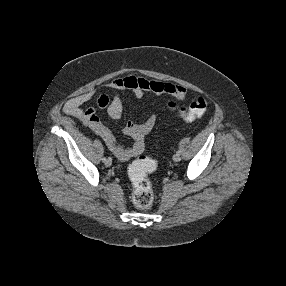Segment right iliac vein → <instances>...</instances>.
Masks as SVG:
<instances>
[{
  "mask_svg": "<svg viewBox=\"0 0 286 286\" xmlns=\"http://www.w3.org/2000/svg\"><path fill=\"white\" fill-rule=\"evenodd\" d=\"M105 165H106L107 167L111 166V165H112V159H111V158L106 159Z\"/></svg>",
  "mask_w": 286,
  "mask_h": 286,
  "instance_id": "obj_1",
  "label": "right iliac vein"
}]
</instances>
